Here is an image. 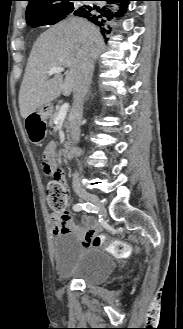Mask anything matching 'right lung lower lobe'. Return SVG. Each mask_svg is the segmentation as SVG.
<instances>
[{
  "label": "right lung lower lobe",
  "mask_w": 183,
  "mask_h": 329,
  "mask_svg": "<svg viewBox=\"0 0 183 329\" xmlns=\"http://www.w3.org/2000/svg\"><path fill=\"white\" fill-rule=\"evenodd\" d=\"M93 1H106L108 4L119 3V13H112L107 6L100 5H85L78 10L74 11V15L84 17L92 23L98 25L101 29L102 35H107L111 31V27L108 25L114 16L122 15L131 0H93ZM107 39V38H106Z\"/></svg>",
  "instance_id": "98d812e1"
}]
</instances>
